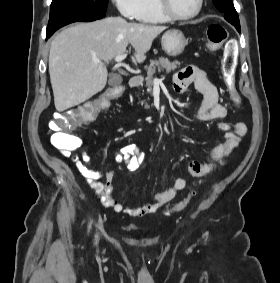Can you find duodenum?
Segmentation results:
<instances>
[{
    "label": "duodenum",
    "instance_id": "obj_1",
    "mask_svg": "<svg viewBox=\"0 0 280 283\" xmlns=\"http://www.w3.org/2000/svg\"><path fill=\"white\" fill-rule=\"evenodd\" d=\"M143 82V79L141 76L139 75H135L130 79L129 85L131 88H136L138 86H140Z\"/></svg>",
    "mask_w": 280,
    "mask_h": 283
}]
</instances>
